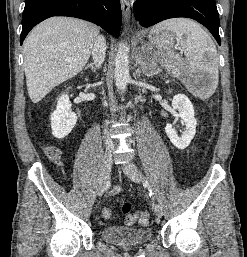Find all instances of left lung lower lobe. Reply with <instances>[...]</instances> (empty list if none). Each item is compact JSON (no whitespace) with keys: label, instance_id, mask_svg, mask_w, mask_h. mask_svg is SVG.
<instances>
[{"label":"left lung lower lobe","instance_id":"0a47b994","mask_svg":"<svg viewBox=\"0 0 247 257\" xmlns=\"http://www.w3.org/2000/svg\"><path fill=\"white\" fill-rule=\"evenodd\" d=\"M134 15L143 27L175 17L194 19L204 25L221 45L215 0H137Z\"/></svg>","mask_w":247,"mask_h":257}]
</instances>
